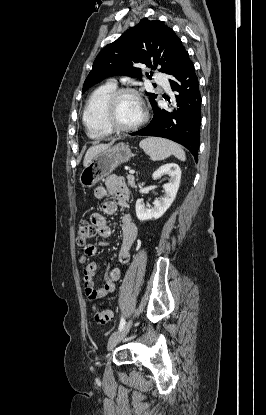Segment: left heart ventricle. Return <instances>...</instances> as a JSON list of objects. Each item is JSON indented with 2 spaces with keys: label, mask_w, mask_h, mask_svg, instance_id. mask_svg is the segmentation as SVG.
<instances>
[{
  "label": "left heart ventricle",
  "mask_w": 266,
  "mask_h": 415,
  "mask_svg": "<svg viewBox=\"0 0 266 415\" xmlns=\"http://www.w3.org/2000/svg\"><path fill=\"white\" fill-rule=\"evenodd\" d=\"M116 120L119 124L130 126L137 123L142 116V106L139 100L131 95L121 96L116 104Z\"/></svg>",
  "instance_id": "b2bd125f"
}]
</instances>
